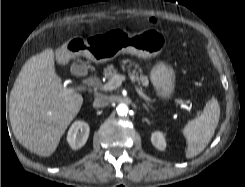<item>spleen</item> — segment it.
I'll return each instance as SVG.
<instances>
[{
  "mask_svg": "<svg viewBox=\"0 0 245 187\" xmlns=\"http://www.w3.org/2000/svg\"><path fill=\"white\" fill-rule=\"evenodd\" d=\"M220 118V106L215 97L205 105L203 113L189 121L182 133L187 141L186 158L200 154L210 142Z\"/></svg>",
  "mask_w": 245,
  "mask_h": 187,
  "instance_id": "obj_1",
  "label": "spleen"
}]
</instances>
